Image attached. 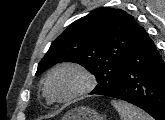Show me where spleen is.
<instances>
[{
    "label": "spleen",
    "mask_w": 165,
    "mask_h": 120,
    "mask_svg": "<svg viewBox=\"0 0 165 120\" xmlns=\"http://www.w3.org/2000/svg\"><path fill=\"white\" fill-rule=\"evenodd\" d=\"M111 105L118 111L121 120H153L150 115L127 102L112 100Z\"/></svg>",
    "instance_id": "obj_1"
}]
</instances>
